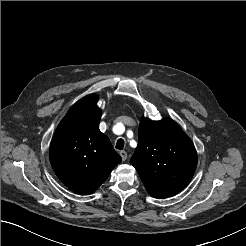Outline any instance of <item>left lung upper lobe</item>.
Listing matches in <instances>:
<instances>
[{"instance_id": "left-lung-upper-lobe-1", "label": "left lung upper lobe", "mask_w": 246, "mask_h": 246, "mask_svg": "<svg viewBox=\"0 0 246 246\" xmlns=\"http://www.w3.org/2000/svg\"><path fill=\"white\" fill-rule=\"evenodd\" d=\"M130 163L150 195L170 197L191 180L197 153L191 139L170 118H142L138 146Z\"/></svg>"}]
</instances>
